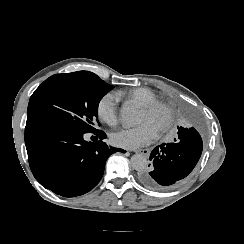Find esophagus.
<instances>
[{
  "label": "esophagus",
  "instance_id": "1",
  "mask_svg": "<svg viewBox=\"0 0 244 244\" xmlns=\"http://www.w3.org/2000/svg\"><path fill=\"white\" fill-rule=\"evenodd\" d=\"M135 153L143 154V155H145V156H149V154H150V149H149V148H146V149L135 150Z\"/></svg>",
  "mask_w": 244,
  "mask_h": 244
}]
</instances>
